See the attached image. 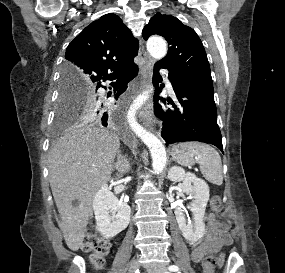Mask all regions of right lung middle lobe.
<instances>
[{
  "instance_id": "obj_1",
  "label": "right lung middle lobe",
  "mask_w": 285,
  "mask_h": 273,
  "mask_svg": "<svg viewBox=\"0 0 285 273\" xmlns=\"http://www.w3.org/2000/svg\"><path fill=\"white\" fill-rule=\"evenodd\" d=\"M94 85L81 82L67 72H62L56 124L58 127L69 121L80 119L99 120L103 99L96 93Z\"/></svg>"
}]
</instances>
